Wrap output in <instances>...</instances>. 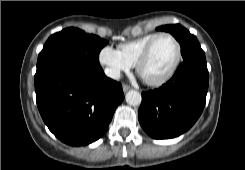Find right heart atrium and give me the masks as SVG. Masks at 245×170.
Returning <instances> with one entry per match:
<instances>
[{"instance_id":"d8ad5b80","label":"right heart atrium","mask_w":245,"mask_h":170,"mask_svg":"<svg viewBox=\"0 0 245 170\" xmlns=\"http://www.w3.org/2000/svg\"><path fill=\"white\" fill-rule=\"evenodd\" d=\"M99 61L105 67V74L118 79L122 72L128 71L131 64L123 57L119 50L105 46L99 53Z\"/></svg>"}]
</instances>
